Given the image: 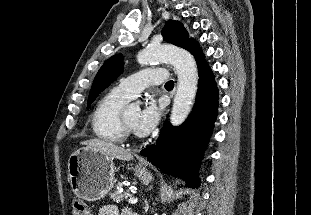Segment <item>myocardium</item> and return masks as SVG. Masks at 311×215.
Returning <instances> with one entry per match:
<instances>
[{"label":"myocardium","mask_w":311,"mask_h":215,"mask_svg":"<svg viewBox=\"0 0 311 215\" xmlns=\"http://www.w3.org/2000/svg\"><path fill=\"white\" fill-rule=\"evenodd\" d=\"M126 109L127 107L123 108L120 118H121V123H122L125 137L131 138L133 137V129L126 120Z\"/></svg>","instance_id":"obj_1"}]
</instances>
